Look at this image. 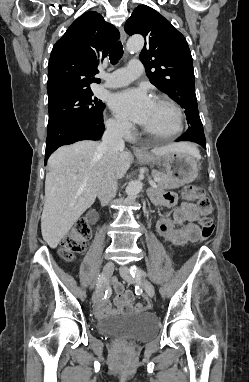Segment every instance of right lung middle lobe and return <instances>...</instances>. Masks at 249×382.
Wrapping results in <instances>:
<instances>
[{
  "label": "right lung middle lobe",
  "mask_w": 249,
  "mask_h": 382,
  "mask_svg": "<svg viewBox=\"0 0 249 382\" xmlns=\"http://www.w3.org/2000/svg\"><path fill=\"white\" fill-rule=\"evenodd\" d=\"M104 108L105 104L92 91L63 97L48 103V129L76 120L96 121Z\"/></svg>",
  "instance_id": "right-lung-middle-lobe-1"
}]
</instances>
